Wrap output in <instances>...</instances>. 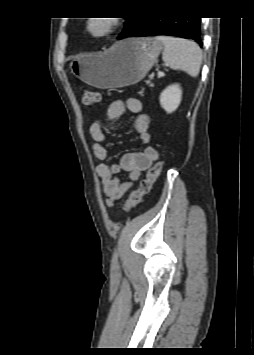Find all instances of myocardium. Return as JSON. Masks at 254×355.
Masks as SVG:
<instances>
[{
	"instance_id": "f54148a6",
	"label": "myocardium",
	"mask_w": 254,
	"mask_h": 355,
	"mask_svg": "<svg viewBox=\"0 0 254 355\" xmlns=\"http://www.w3.org/2000/svg\"><path fill=\"white\" fill-rule=\"evenodd\" d=\"M120 19L111 16H94L89 17L86 21V32L93 38H105L110 36L119 26ZM96 25L102 26L101 30H95Z\"/></svg>"
}]
</instances>
